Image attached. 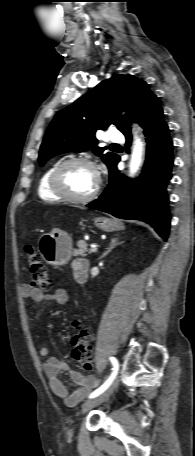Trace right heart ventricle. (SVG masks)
<instances>
[{
	"label": "right heart ventricle",
	"instance_id": "e07e8e85",
	"mask_svg": "<svg viewBox=\"0 0 195 456\" xmlns=\"http://www.w3.org/2000/svg\"><path fill=\"white\" fill-rule=\"evenodd\" d=\"M55 166L56 164L47 167L38 181V195L45 201L56 202L60 200V198L52 192L49 186V177Z\"/></svg>",
	"mask_w": 195,
	"mask_h": 456
}]
</instances>
